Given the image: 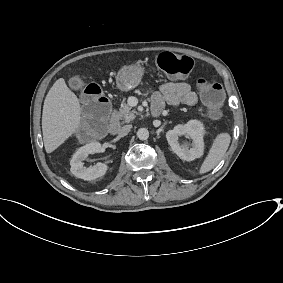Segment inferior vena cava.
I'll return each mask as SVG.
<instances>
[{
	"label": "inferior vena cava",
	"mask_w": 283,
	"mask_h": 283,
	"mask_svg": "<svg viewBox=\"0 0 283 283\" xmlns=\"http://www.w3.org/2000/svg\"><path fill=\"white\" fill-rule=\"evenodd\" d=\"M131 128H132L131 124L123 126L118 132L119 136L121 137L126 136L130 132Z\"/></svg>",
	"instance_id": "obj_1"
}]
</instances>
